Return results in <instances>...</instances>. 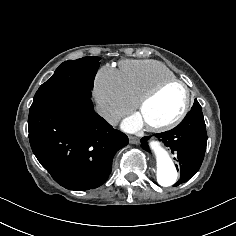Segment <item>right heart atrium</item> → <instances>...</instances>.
<instances>
[{
    "mask_svg": "<svg viewBox=\"0 0 236 236\" xmlns=\"http://www.w3.org/2000/svg\"><path fill=\"white\" fill-rule=\"evenodd\" d=\"M93 94L99 116L110 125L115 124L135 106L123 75L109 65H104L97 71Z\"/></svg>",
    "mask_w": 236,
    "mask_h": 236,
    "instance_id": "d8ad5b80",
    "label": "right heart atrium"
}]
</instances>
